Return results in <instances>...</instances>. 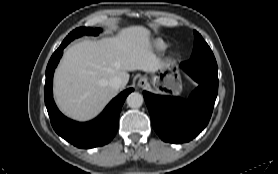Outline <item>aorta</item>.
I'll return each instance as SVG.
<instances>
[{
	"instance_id": "1",
	"label": "aorta",
	"mask_w": 278,
	"mask_h": 174,
	"mask_svg": "<svg viewBox=\"0 0 278 174\" xmlns=\"http://www.w3.org/2000/svg\"><path fill=\"white\" fill-rule=\"evenodd\" d=\"M143 101H144L143 96L138 92H132L126 98L127 105L131 108L141 107Z\"/></svg>"
}]
</instances>
